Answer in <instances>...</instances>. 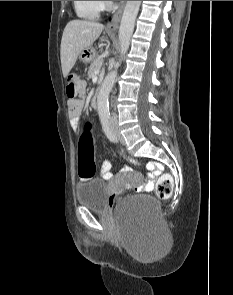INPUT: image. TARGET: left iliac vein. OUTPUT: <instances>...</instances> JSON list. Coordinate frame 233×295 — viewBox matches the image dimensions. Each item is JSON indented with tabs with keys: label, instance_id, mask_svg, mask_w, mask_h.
I'll return each instance as SVG.
<instances>
[{
	"label": "left iliac vein",
	"instance_id": "obj_1",
	"mask_svg": "<svg viewBox=\"0 0 233 295\" xmlns=\"http://www.w3.org/2000/svg\"><path fill=\"white\" fill-rule=\"evenodd\" d=\"M114 129V132L116 134V136L118 137L119 141L122 143V144H125V140L123 138V136L120 134L119 130L117 129V127H113Z\"/></svg>",
	"mask_w": 233,
	"mask_h": 295
}]
</instances>
